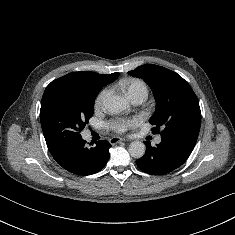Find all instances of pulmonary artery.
Wrapping results in <instances>:
<instances>
[{
	"instance_id": "obj_1",
	"label": "pulmonary artery",
	"mask_w": 235,
	"mask_h": 235,
	"mask_svg": "<svg viewBox=\"0 0 235 235\" xmlns=\"http://www.w3.org/2000/svg\"><path fill=\"white\" fill-rule=\"evenodd\" d=\"M147 98V94L146 93H143V92H140V93H137V94H134L133 96L130 97L131 101L134 103V104H141L142 102H144ZM155 142L156 143H160L161 142V137L160 136H157L155 138Z\"/></svg>"
}]
</instances>
